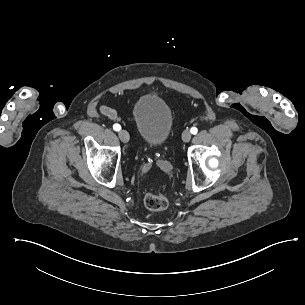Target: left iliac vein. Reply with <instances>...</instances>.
<instances>
[{"label":"left iliac vein","mask_w":305,"mask_h":305,"mask_svg":"<svg viewBox=\"0 0 305 305\" xmlns=\"http://www.w3.org/2000/svg\"><path fill=\"white\" fill-rule=\"evenodd\" d=\"M191 136H192V134H191V132H190L189 130H185V131L182 133V139H183V141H185V142H189L190 139H191Z\"/></svg>","instance_id":"left-iliac-vein-1"}]
</instances>
